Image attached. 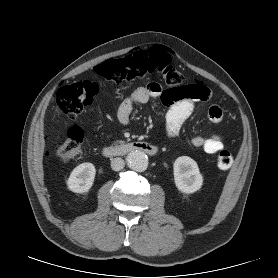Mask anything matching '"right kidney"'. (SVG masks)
<instances>
[{
	"mask_svg": "<svg viewBox=\"0 0 278 278\" xmlns=\"http://www.w3.org/2000/svg\"><path fill=\"white\" fill-rule=\"evenodd\" d=\"M95 174L96 169L92 163L86 162L78 165L67 180L69 190L75 193L88 192L93 185Z\"/></svg>",
	"mask_w": 278,
	"mask_h": 278,
	"instance_id": "obj_1",
	"label": "right kidney"
}]
</instances>
